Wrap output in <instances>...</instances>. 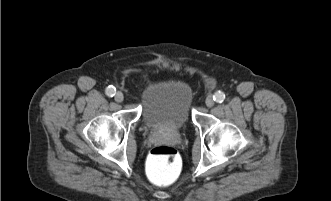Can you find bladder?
I'll return each instance as SVG.
<instances>
[{
	"label": "bladder",
	"mask_w": 331,
	"mask_h": 201,
	"mask_svg": "<svg viewBox=\"0 0 331 201\" xmlns=\"http://www.w3.org/2000/svg\"><path fill=\"white\" fill-rule=\"evenodd\" d=\"M192 102L186 82L174 78L154 81L143 93L142 122L150 129L182 128L190 120Z\"/></svg>",
	"instance_id": "bladder-1"
}]
</instances>
